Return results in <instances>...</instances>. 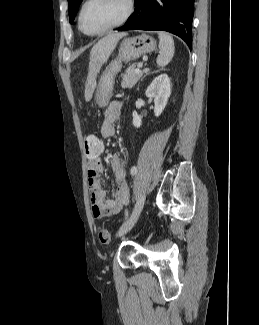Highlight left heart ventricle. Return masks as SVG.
Instances as JSON below:
<instances>
[{"label": "left heart ventricle", "instance_id": "left-heart-ventricle-1", "mask_svg": "<svg viewBox=\"0 0 259 325\" xmlns=\"http://www.w3.org/2000/svg\"><path fill=\"white\" fill-rule=\"evenodd\" d=\"M126 8V0H91L83 11V27L88 32L101 31L119 21Z\"/></svg>", "mask_w": 259, "mask_h": 325}]
</instances>
